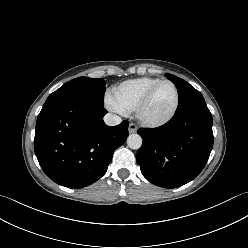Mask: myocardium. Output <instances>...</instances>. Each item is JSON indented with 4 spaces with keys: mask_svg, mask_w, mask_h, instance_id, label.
<instances>
[{
    "mask_svg": "<svg viewBox=\"0 0 248 248\" xmlns=\"http://www.w3.org/2000/svg\"><path fill=\"white\" fill-rule=\"evenodd\" d=\"M164 84H169L173 87L174 92H175V103L174 106L171 110V112L163 119L161 120H157V121H153V120H149L147 118H145L144 116V109L147 106L150 98L152 97L153 93L161 86ZM179 105H180V92L178 87L170 80H160L159 82H157L156 84H154L153 86H151L146 92L145 94L142 96V98L140 99V101L138 102L136 108H135V115L137 120L145 127L148 128H160L163 127L165 125H167L170 121H172V119L175 117L178 109H179Z\"/></svg>",
    "mask_w": 248,
    "mask_h": 248,
    "instance_id": "1",
    "label": "myocardium"
}]
</instances>
